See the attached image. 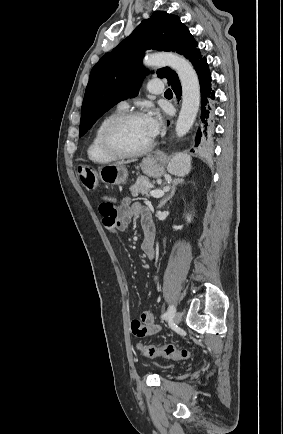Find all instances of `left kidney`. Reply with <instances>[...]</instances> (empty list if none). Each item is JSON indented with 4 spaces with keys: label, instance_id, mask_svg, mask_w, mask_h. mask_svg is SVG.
Masks as SVG:
<instances>
[{
    "label": "left kidney",
    "instance_id": "obj_1",
    "mask_svg": "<svg viewBox=\"0 0 283 434\" xmlns=\"http://www.w3.org/2000/svg\"><path fill=\"white\" fill-rule=\"evenodd\" d=\"M186 219H187V222L190 223L191 220H192V216L189 215V214H187V215H186Z\"/></svg>",
    "mask_w": 283,
    "mask_h": 434
}]
</instances>
